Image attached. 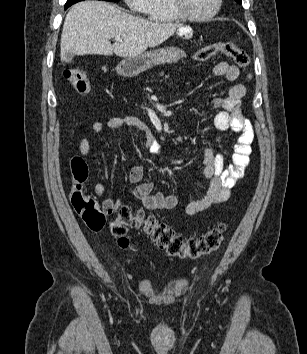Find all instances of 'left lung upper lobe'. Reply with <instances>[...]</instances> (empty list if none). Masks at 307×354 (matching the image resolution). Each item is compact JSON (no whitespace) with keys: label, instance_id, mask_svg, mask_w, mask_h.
<instances>
[{"label":"left lung upper lobe","instance_id":"left-lung-upper-lobe-1","mask_svg":"<svg viewBox=\"0 0 307 354\" xmlns=\"http://www.w3.org/2000/svg\"><path fill=\"white\" fill-rule=\"evenodd\" d=\"M237 2L241 3V0H236Z\"/></svg>","mask_w":307,"mask_h":354}]
</instances>
